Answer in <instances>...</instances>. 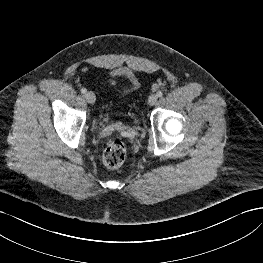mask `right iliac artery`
<instances>
[{"label": "right iliac artery", "instance_id": "obj_1", "mask_svg": "<svg viewBox=\"0 0 263 263\" xmlns=\"http://www.w3.org/2000/svg\"><path fill=\"white\" fill-rule=\"evenodd\" d=\"M86 92H87V90H86L85 88H82V89H81V93H82V94H86Z\"/></svg>", "mask_w": 263, "mask_h": 263}]
</instances>
